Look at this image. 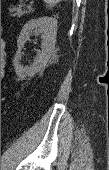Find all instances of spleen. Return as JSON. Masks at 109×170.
I'll list each match as a JSON object with an SVG mask.
<instances>
[{"label":"spleen","instance_id":"obj_1","mask_svg":"<svg viewBox=\"0 0 109 170\" xmlns=\"http://www.w3.org/2000/svg\"><path fill=\"white\" fill-rule=\"evenodd\" d=\"M43 1H44L45 3H47L48 5L53 6V5L59 3V2L62 1V0H43Z\"/></svg>","mask_w":109,"mask_h":170}]
</instances>
